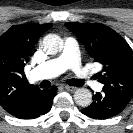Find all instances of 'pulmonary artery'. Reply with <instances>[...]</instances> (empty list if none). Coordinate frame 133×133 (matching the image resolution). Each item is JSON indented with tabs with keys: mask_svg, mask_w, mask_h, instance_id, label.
Masks as SVG:
<instances>
[{
	"mask_svg": "<svg viewBox=\"0 0 133 133\" xmlns=\"http://www.w3.org/2000/svg\"><path fill=\"white\" fill-rule=\"evenodd\" d=\"M71 69L86 84L95 90H100L101 85L92 79L89 70L81 65L80 52L76 40L67 37L60 55L48 60L33 69L31 76L34 80L48 79L56 77L66 70Z\"/></svg>",
	"mask_w": 133,
	"mask_h": 133,
	"instance_id": "pulmonary-artery-1",
	"label": "pulmonary artery"
}]
</instances>
